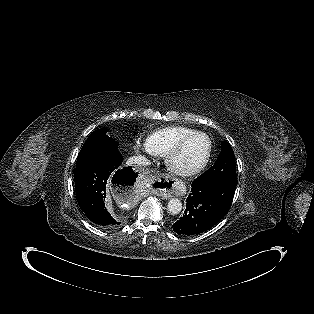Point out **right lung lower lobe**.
<instances>
[{
    "label": "right lung lower lobe",
    "instance_id": "right-lung-lower-lobe-1",
    "mask_svg": "<svg viewBox=\"0 0 314 314\" xmlns=\"http://www.w3.org/2000/svg\"><path fill=\"white\" fill-rule=\"evenodd\" d=\"M122 161L121 153L113 148L74 171L77 202L87 218L101 228L113 229L121 224L105 207L106 184L117 181L131 188L138 176L132 168H122Z\"/></svg>",
    "mask_w": 314,
    "mask_h": 314
}]
</instances>
